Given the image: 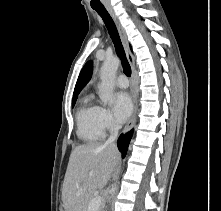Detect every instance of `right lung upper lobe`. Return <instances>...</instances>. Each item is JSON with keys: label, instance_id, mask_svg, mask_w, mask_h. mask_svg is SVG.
Segmentation results:
<instances>
[{"label": "right lung upper lobe", "instance_id": "obj_1", "mask_svg": "<svg viewBox=\"0 0 221 211\" xmlns=\"http://www.w3.org/2000/svg\"><path fill=\"white\" fill-rule=\"evenodd\" d=\"M92 70H93V63L92 61H88L83 69L81 70V73L78 77L75 89H74V93H73V97L78 96V94L80 93V91L83 89V87L88 83V81L91 78L92 75Z\"/></svg>", "mask_w": 221, "mask_h": 211}]
</instances>
